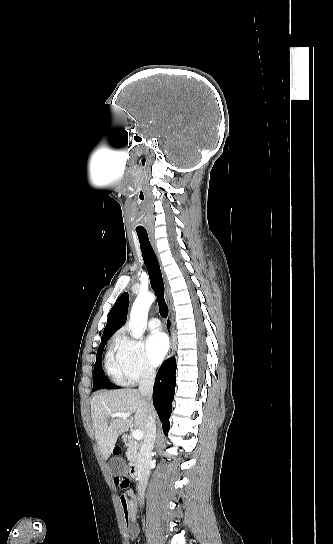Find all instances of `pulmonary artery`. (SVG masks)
<instances>
[{"instance_id": "pulmonary-artery-1", "label": "pulmonary artery", "mask_w": 333, "mask_h": 544, "mask_svg": "<svg viewBox=\"0 0 333 544\" xmlns=\"http://www.w3.org/2000/svg\"><path fill=\"white\" fill-rule=\"evenodd\" d=\"M148 327L154 333L159 332L161 329L160 320L155 317L151 318L148 322Z\"/></svg>"}]
</instances>
